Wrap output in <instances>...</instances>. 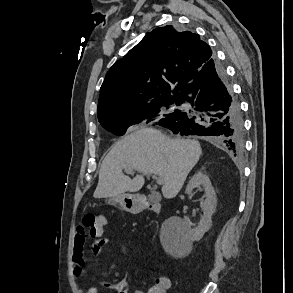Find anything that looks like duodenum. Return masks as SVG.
<instances>
[{"label":"duodenum","instance_id":"obj_1","mask_svg":"<svg viewBox=\"0 0 293 293\" xmlns=\"http://www.w3.org/2000/svg\"><path fill=\"white\" fill-rule=\"evenodd\" d=\"M136 210L142 212L144 210H152L153 212L160 214L162 211V205L158 201L152 200L150 197L144 195L136 202Z\"/></svg>","mask_w":293,"mask_h":293}]
</instances>
